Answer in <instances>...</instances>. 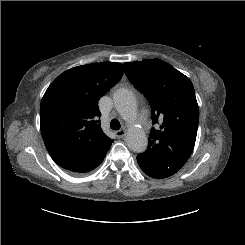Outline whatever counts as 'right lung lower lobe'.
Listing matches in <instances>:
<instances>
[{
	"mask_svg": "<svg viewBox=\"0 0 245 245\" xmlns=\"http://www.w3.org/2000/svg\"><path fill=\"white\" fill-rule=\"evenodd\" d=\"M110 146L111 144L105 147L88 165L82 167L81 169H79L78 171L74 173L76 174L85 173V172L91 171L94 168H96L103 161Z\"/></svg>",
	"mask_w": 245,
	"mask_h": 245,
	"instance_id": "98d812e1",
	"label": "right lung lower lobe"
}]
</instances>
